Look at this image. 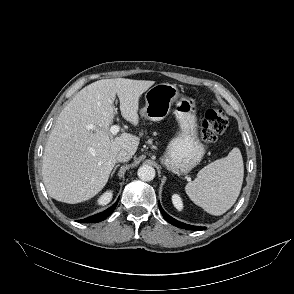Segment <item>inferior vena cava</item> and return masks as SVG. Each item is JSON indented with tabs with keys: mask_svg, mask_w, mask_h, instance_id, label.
Masks as SVG:
<instances>
[{
	"mask_svg": "<svg viewBox=\"0 0 294 294\" xmlns=\"http://www.w3.org/2000/svg\"><path fill=\"white\" fill-rule=\"evenodd\" d=\"M131 159V154L122 150L116 155V161L118 162H127Z\"/></svg>",
	"mask_w": 294,
	"mask_h": 294,
	"instance_id": "602c4592",
	"label": "inferior vena cava"
}]
</instances>
